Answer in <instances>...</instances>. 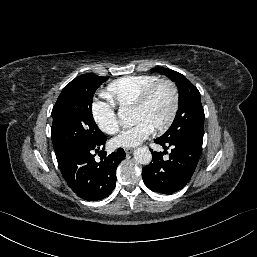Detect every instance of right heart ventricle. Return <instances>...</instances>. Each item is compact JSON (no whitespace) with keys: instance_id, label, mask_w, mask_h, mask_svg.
Segmentation results:
<instances>
[{"instance_id":"right-heart-ventricle-1","label":"right heart ventricle","mask_w":257,"mask_h":257,"mask_svg":"<svg viewBox=\"0 0 257 257\" xmlns=\"http://www.w3.org/2000/svg\"><path fill=\"white\" fill-rule=\"evenodd\" d=\"M158 80L154 75L125 76L108 84L105 97L120 108L132 107L142 92Z\"/></svg>"}]
</instances>
